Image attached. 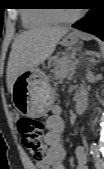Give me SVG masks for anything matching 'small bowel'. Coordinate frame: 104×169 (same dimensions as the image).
<instances>
[{
    "mask_svg": "<svg viewBox=\"0 0 104 169\" xmlns=\"http://www.w3.org/2000/svg\"><path fill=\"white\" fill-rule=\"evenodd\" d=\"M80 95L84 96L81 92ZM47 132L44 141L49 146L45 158L37 163L38 169H65L64 161L67 152L63 144L65 123L62 117V109L59 106L52 108V114L46 119ZM78 162L77 169H89L87 154L84 146L80 145L75 150Z\"/></svg>",
    "mask_w": 104,
    "mask_h": 169,
    "instance_id": "obj_1",
    "label": "small bowel"
}]
</instances>
